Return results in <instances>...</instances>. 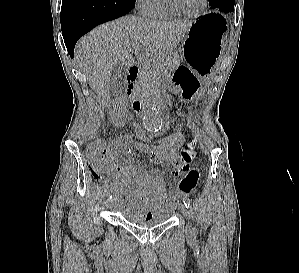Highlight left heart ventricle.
<instances>
[{"label":"left heart ventricle","instance_id":"b2bd125f","mask_svg":"<svg viewBox=\"0 0 299 273\" xmlns=\"http://www.w3.org/2000/svg\"><path fill=\"white\" fill-rule=\"evenodd\" d=\"M203 0H175L176 4L186 12H195L201 5Z\"/></svg>","mask_w":299,"mask_h":273}]
</instances>
